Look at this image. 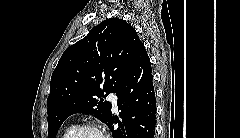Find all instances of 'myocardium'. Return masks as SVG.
<instances>
[{
	"label": "myocardium",
	"mask_w": 240,
	"mask_h": 138,
	"mask_svg": "<svg viewBox=\"0 0 240 138\" xmlns=\"http://www.w3.org/2000/svg\"><path fill=\"white\" fill-rule=\"evenodd\" d=\"M88 130L98 133L101 138H105L104 133L100 127L93 123H86L75 127V129L68 135L67 138H77L82 132Z\"/></svg>",
	"instance_id": "1"
}]
</instances>
